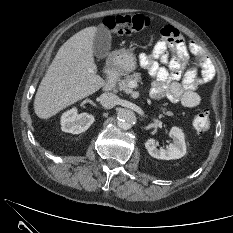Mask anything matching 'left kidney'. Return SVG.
I'll use <instances>...</instances> for the list:
<instances>
[{
    "instance_id": "obj_1",
    "label": "left kidney",
    "mask_w": 233,
    "mask_h": 233,
    "mask_svg": "<svg viewBox=\"0 0 233 233\" xmlns=\"http://www.w3.org/2000/svg\"><path fill=\"white\" fill-rule=\"evenodd\" d=\"M169 136L172 138V143L166 149H158L155 139H148L145 147L148 153L161 160H175L183 157L186 154V143L183 131L178 127H172Z\"/></svg>"
}]
</instances>
